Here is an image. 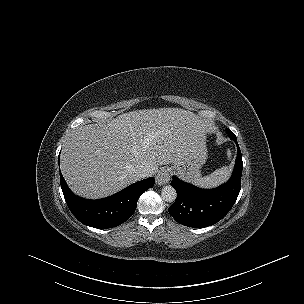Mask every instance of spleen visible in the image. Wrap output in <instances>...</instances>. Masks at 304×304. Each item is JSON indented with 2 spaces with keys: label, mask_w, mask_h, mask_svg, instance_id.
Listing matches in <instances>:
<instances>
[{
  "label": "spleen",
  "mask_w": 304,
  "mask_h": 304,
  "mask_svg": "<svg viewBox=\"0 0 304 304\" xmlns=\"http://www.w3.org/2000/svg\"><path fill=\"white\" fill-rule=\"evenodd\" d=\"M230 157V153H228ZM230 176V168L225 166L215 170L210 175L205 177H200L197 185L205 188H213L217 187L218 185L226 182Z\"/></svg>",
  "instance_id": "3e777b00"
}]
</instances>
